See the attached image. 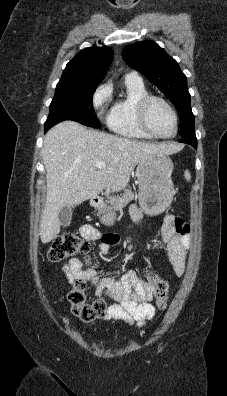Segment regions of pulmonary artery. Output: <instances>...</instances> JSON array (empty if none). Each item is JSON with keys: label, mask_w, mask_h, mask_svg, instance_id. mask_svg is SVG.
<instances>
[{"label": "pulmonary artery", "mask_w": 227, "mask_h": 396, "mask_svg": "<svg viewBox=\"0 0 227 396\" xmlns=\"http://www.w3.org/2000/svg\"><path fill=\"white\" fill-rule=\"evenodd\" d=\"M126 79H132V80H139L141 81V78L138 76L136 72H130L126 75Z\"/></svg>", "instance_id": "obj_1"}]
</instances>
